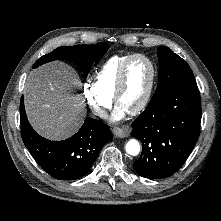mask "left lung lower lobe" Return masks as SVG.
Here are the masks:
<instances>
[{
  "mask_svg": "<svg viewBox=\"0 0 221 221\" xmlns=\"http://www.w3.org/2000/svg\"><path fill=\"white\" fill-rule=\"evenodd\" d=\"M201 98L196 83L174 88L151 100L132 123L142 143L135 171L145 178H166L184 164L200 134Z\"/></svg>",
  "mask_w": 221,
  "mask_h": 221,
  "instance_id": "obj_1",
  "label": "left lung lower lobe"
}]
</instances>
